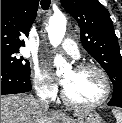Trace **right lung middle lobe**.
I'll return each mask as SVG.
<instances>
[{
  "label": "right lung middle lobe",
  "mask_w": 122,
  "mask_h": 123,
  "mask_svg": "<svg viewBox=\"0 0 122 123\" xmlns=\"http://www.w3.org/2000/svg\"><path fill=\"white\" fill-rule=\"evenodd\" d=\"M19 50L1 49V66L13 69L23 75L30 76V64L22 56H16Z\"/></svg>",
  "instance_id": "obj_1"
}]
</instances>
